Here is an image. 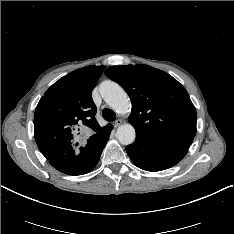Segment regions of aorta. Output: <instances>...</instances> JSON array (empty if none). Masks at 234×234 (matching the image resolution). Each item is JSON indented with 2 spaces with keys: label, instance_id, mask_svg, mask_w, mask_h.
<instances>
[{
  "label": "aorta",
  "instance_id": "obj_1",
  "mask_svg": "<svg viewBox=\"0 0 234 234\" xmlns=\"http://www.w3.org/2000/svg\"><path fill=\"white\" fill-rule=\"evenodd\" d=\"M100 92L104 101L117 113L127 114L131 109V102L125 90L113 81H105L100 85ZM136 132L131 124H123L117 128L116 138L123 145L135 141Z\"/></svg>",
  "mask_w": 234,
  "mask_h": 234
}]
</instances>
